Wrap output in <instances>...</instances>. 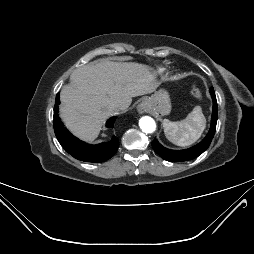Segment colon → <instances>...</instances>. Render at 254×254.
Returning a JSON list of instances; mask_svg holds the SVG:
<instances>
[{"instance_id":"5ec220e1","label":"colon","mask_w":254,"mask_h":254,"mask_svg":"<svg viewBox=\"0 0 254 254\" xmlns=\"http://www.w3.org/2000/svg\"><path fill=\"white\" fill-rule=\"evenodd\" d=\"M191 94L196 99H201V97H202L201 91H200V89L196 85H194L192 87Z\"/></svg>"}]
</instances>
